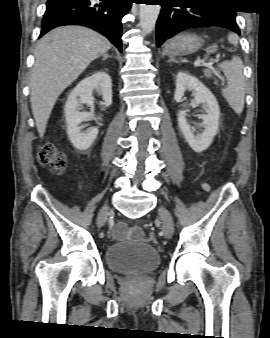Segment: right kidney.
I'll list each match as a JSON object with an SVG mask.
<instances>
[{
	"label": "right kidney",
	"mask_w": 270,
	"mask_h": 338,
	"mask_svg": "<svg viewBox=\"0 0 270 338\" xmlns=\"http://www.w3.org/2000/svg\"><path fill=\"white\" fill-rule=\"evenodd\" d=\"M94 91L102 95L105 107L111 105L112 81L106 72L98 71L80 81L69 94L65 104L64 114L67 124V134L74 147L79 150L88 149L98 135L97 128L81 131V127H79L83 121L94 118L92 112L81 111L83 104H87L88 106L93 105Z\"/></svg>",
	"instance_id": "1"
}]
</instances>
